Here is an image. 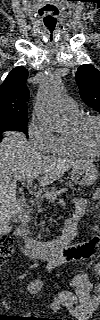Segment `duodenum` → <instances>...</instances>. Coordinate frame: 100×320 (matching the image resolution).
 I'll return each instance as SVG.
<instances>
[{"mask_svg": "<svg viewBox=\"0 0 100 320\" xmlns=\"http://www.w3.org/2000/svg\"><path fill=\"white\" fill-rule=\"evenodd\" d=\"M80 217L76 213L71 216L65 228L63 235L57 240L37 241L27 237V215L19 218L15 235L23 240V252L30 258L45 259L57 266L66 262V254L70 242L74 239L77 232V224Z\"/></svg>", "mask_w": 100, "mask_h": 320, "instance_id": "obj_1", "label": "duodenum"}]
</instances>
